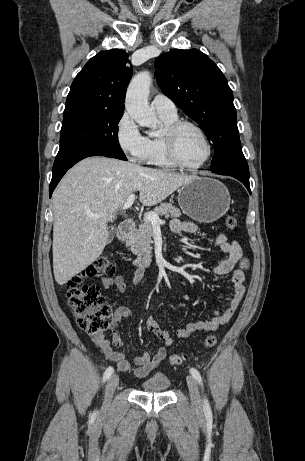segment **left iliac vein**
<instances>
[{"instance_id":"4c4485c4","label":"left iliac vein","mask_w":305,"mask_h":461,"mask_svg":"<svg viewBox=\"0 0 305 461\" xmlns=\"http://www.w3.org/2000/svg\"><path fill=\"white\" fill-rule=\"evenodd\" d=\"M187 385H188V389L190 392V398H191L193 407L196 410H201L202 400H201L198 384L193 376L191 375L187 376Z\"/></svg>"}]
</instances>
